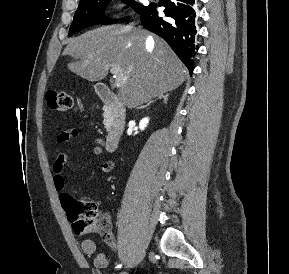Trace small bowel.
<instances>
[{
	"mask_svg": "<svg viewBox=\"0 0 289 274\" xmlns=\"http://www.w3.org/2000/svg\"><path fill=\"white\" fill-rule=\"evenodd\" d=\"M81 131L78 128H71L65 131L60 132L56 137V142L58 144H63L68 142L71 139L79 138ZM97 146L93 147L91 154L94 156H99L102 154V147L100 146L101 140H97ZM71 152L69 150L60 152L53 163V185L56 191L61 192L65 188V179L62 175L64 165L67 163L70 158ZM114 168V162L112 160L105 161L101 170L104 173L110 172ZM105 243L110 246L111 249H117V243L110 232L109 235L102 236ZM81 249L86 255H95L94 265L96 268L103 269L109 266L110 258L105 253H97V244L93 239H83L81 242Z\"/></svg>",
	"mask_w": 289,
	"mask_h": 274,
	"instance_id": "c3829d8e",
	"label": "small bowel"
}]
</instances>
